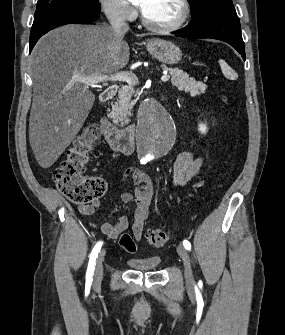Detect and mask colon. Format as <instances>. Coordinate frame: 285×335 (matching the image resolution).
Returning a JSON list of instances; mask_svg holds the SVG:
<instances>
[{
	"mask_svg": "<svg viewBox=\"0 0 285 335\" xmlns=\"http://www.w3.org/2000/svg\"><path fill=\"white\" fill-rule=\"evenodd\" d=\"M101 137V127L90 124L76 137L68 149L65 159L54 170L53 180L59 191L73 203L87 205L98 200L106 191V182L100 177L84 176L90 152ZM148 242L155 247H163L169 240L163 229L147 232ZM119 245L128 253H136L137 243L128 232L118 238Z\"/></svg>",
	"mask_w": 285,
	"mask_h": 335,
	"instance_id": "1",
	"label": "colon"
}]
</instances>
